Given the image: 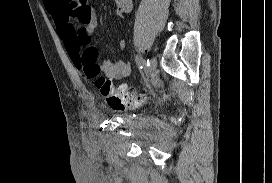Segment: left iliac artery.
<instances>
[{"instance_id":"obj_1","label":"left iliac artery","mask_w":272,"mask_h":183,"mask_svg":"<svg viewBox=\"0 0 272 183\" xmlns=\"http://www.w3.org/2000/svg\"><path fill=\"white\" fill-rule=\"evenodd\" d=\"M135 61L140 68H144L146 66H149V61L148 60L145 61L140 55H136Z\"/></svg>"}]
</instances>
